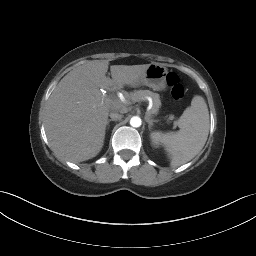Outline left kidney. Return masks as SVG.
<instances>
[{
  "instance_id": "obj_1",
  "label": "left kidney",
  "mask_w": 256,
  "mask_h": 256,
  "mask_svg": "<svg viewBox=\"0 0 256 256\" xmlns=\"http://www.w3.org/2000/svg\"><path fill=\"white\" fill-rule=\"evenodd\" d=\"M150 138H151L152 144L154 146H158L161 142H163L165 136L163 133L159 131H155L150 134Z\"/></svg>"
}]
</instances>
